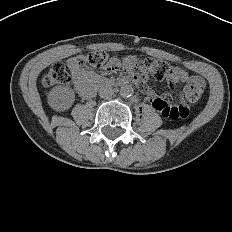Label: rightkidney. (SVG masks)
Instances as JSON below:
<instances>
[{"instance_id":"right-kidney-1","label":"right kidney","mask_w":232,"mask_h":232,"mask_svg":"<svg viewBox=\"0 0 232 232\" xmlns=\"http://www.w3.org/2000/svg\"><path fill=\"white\" fill-rule=\"evenodd\" d=\"M49 106L55 111H66L74 103L75 93L69 87L56 86L47 95Z\"/></svg>"}]
</instances>
